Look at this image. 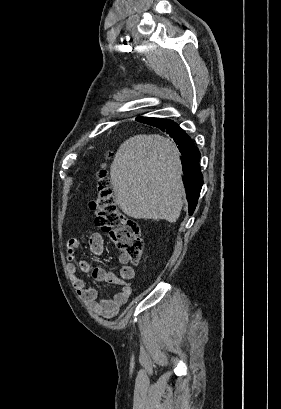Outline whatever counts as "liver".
<instances>
[{"label": "liver", "instance_id": "liver-1", "mask_svg": "<svg viewBox=\"0 0 281 409\" xmlns=\"http://www.w3.org/2000/svg\"><path fill=\"white\" fill-rule=\"evenodd\" d=\"M174 142L160 134H136L119 146L111 166L118 207L134 219L176 223L185 188Z\"/></svg>", "mask_w": 281, "mask_h": 409}]
</instances>
